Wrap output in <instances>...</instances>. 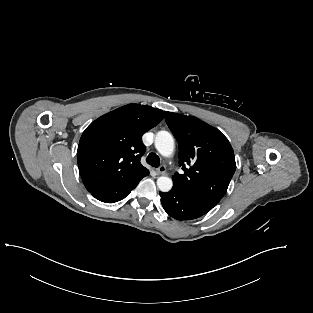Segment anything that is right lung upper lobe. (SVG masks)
<instances>
[{"label": "right lung upper lobe", "instance_id": "cb5924a9", "mask_svg": "<svg viewBox=\"0 0 313 313\" xmlns=\"http://www.w3.org/2000/svg\"><path fill=\"white\" fill-rule=\"evenodd\" d=\"M164 114L150 106L128 104L93 121L83 132L77 150L86 189L91 192L149 173L140 163L145 152L141 137Z\"/></svg>", "mask_w": 313, "mask_h": 313}]
</instances>
